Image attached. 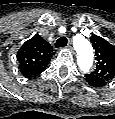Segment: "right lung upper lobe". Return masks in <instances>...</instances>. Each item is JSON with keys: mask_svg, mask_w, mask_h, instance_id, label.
<instances>
[{"mask_svg": "<svg viewBox=\"0 0 115 119\" xmlns=\"http://www.w3.org/2000/svg\"><path fill=\"white\" fill-rule=\"evenodd\" d=\"M52 54L51 45L36 34L17 52L19 71L26 78L38 76L46 69Z\"/></svg>", "mask_w": 115, "mask_h": 119, "instance_id": "1", "label": "right lung upper lobe"}]
</instances>
